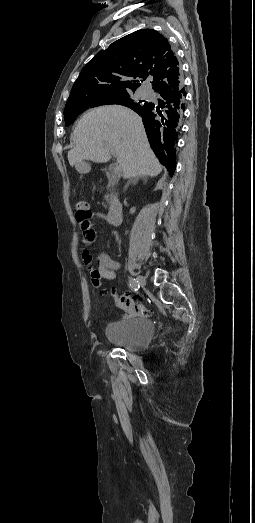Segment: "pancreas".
<instances>
[{"label": "pancreas", "mask_w": 255, "mask_h": 523, "mask_svg": "<svg viewBox=\"0 0 255 523\" xmlns=\"http://www.w3.org/2000/svg\"><path fill=\"white\" fill-rule=\"evenodd\" d=\"M116 182H117V178H115V176H112L107 188H111V186H115ZM108 202H111V200H108Z\"/></svg>", "instance_id": "pancreas-1"}]
</instances>
